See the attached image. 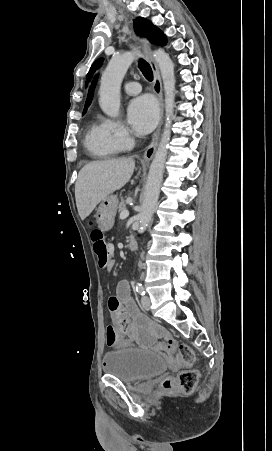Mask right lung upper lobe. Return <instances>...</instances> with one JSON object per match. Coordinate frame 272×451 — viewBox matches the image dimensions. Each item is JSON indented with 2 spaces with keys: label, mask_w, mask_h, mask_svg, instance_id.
Wrapping results in <instances>:
<instances>
[{
  "label": "right lung upper lobe",
  "mask_w": 272,
  "mask_h": 451,
  "mask_svg": "<svg viewBox=\"0 0 272 451\" xmlns=\"http://www.w3.org/2000/svg\"><path fill=\"white\" fill-rule=\"evenodd\" d=\"M96 81H97V77L95 78L92 86L89 89V93H88V97H87V100H86L85 108H87L90 105L91 101H92L93 94H94V87H95Z\"/></svg>",
  "instance_id": "1"
}]
</instances>
